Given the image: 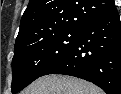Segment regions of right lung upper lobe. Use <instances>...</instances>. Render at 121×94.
Returning <instances> with one entry per match:
<instances>
[{
    "label": "right lung upper lobe",
    "mask_w": 121,
    "mask_h": 94,
    "mask_svg": "<svg viewBox=\"0 0 121 94\" xmlns=\"http://www.w3.org/2000/svg\"><path fill=\"white\" fill-rule=\"evenodd\" d=\"M114 6V0H30L15 44L34 33L79 30L85 22Z\"/></svg>",
    "instance_id": "right-lung-upper-lobe-1"
}]
</instances>
